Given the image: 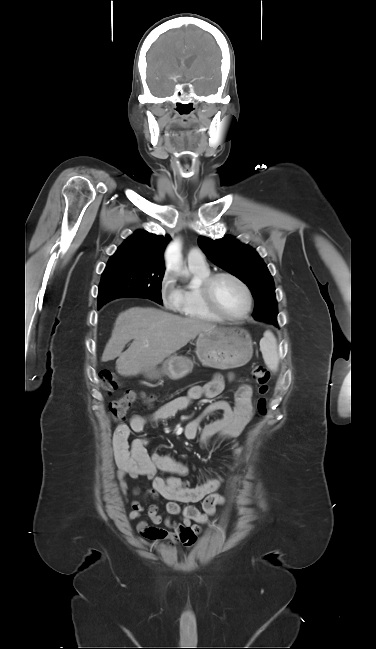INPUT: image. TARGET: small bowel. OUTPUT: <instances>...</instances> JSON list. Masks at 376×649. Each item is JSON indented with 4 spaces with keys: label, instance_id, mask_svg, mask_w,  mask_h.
<instances>
[{
    "label": "small bowel",
    "instance_id": "small-bowel-1",
    "mask_svg": "<svg viewBox=\"0 0 376 649\" xmlns=\"http://www.w3.org/2000/svg\"><path fill=\"white\" fill-rule=\"evenodd\" d=\"M224 384V377L216 374L204 385L192 386L186 396L172 399L149 416L133 415L128 424H119L113 432L116 479L125 501L129 502V482L140 477L151 482V488L147 492L149 497L167 501L164 512H161L156 504L145 506L136 499L130 502L131 511L128 518L130 521L138 520L136 525L138 540L150 548H171L177 543L191 547L201 532V526L208 522L209 517L215 513L216 507L225 502V499L216 493L224 479L217 475L193 486L186 479L189 469L184 463L162 455L158 451L149 452L146 438H138L130 443V433L143 431L149 423L166 421L202 397H216L222 391ZM213 412H219L220 417L204 426L199 437L200 445L206 447L210 444L229 442L233 458L230 469H234L242 454L238 437L254 414L251 385L240 386L233 407L225 400H214L206 405L197 418L185 425L184 436L189 440L195 439L200 422ZM159 472L167 473L169 476H159ZM138 494L139 489L135 488L133 495ZM200 501L203 504L202 511L191 505ZM144 511L147 512L152 525L141 519ZM173 516H179V521L173 520ZM161 524L166 528L158 527Z\"/></svg>",
    "mask_w": 376,
    "mask_h": 649
}]
</instances>
